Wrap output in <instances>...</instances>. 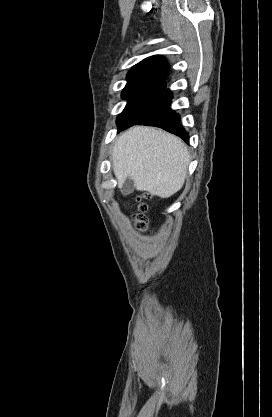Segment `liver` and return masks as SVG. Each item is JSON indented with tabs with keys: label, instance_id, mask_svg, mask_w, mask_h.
<instances>
[{
	"label": "liver",
	"instance_id": "1",
	"mask_svg": "<svg viewBox=\"0 0 272 417\" xmlns=\"http://www.w3.org/2000/svg\"><path fill=\"white\" fill-rule=\"evenodd\" d=\"M111 160L118 187L131 178L138 191L169 198L183 187L190 156L175 135L136 126L116 139Z\"/></svg>",
	"mask_w": 272,
	"mask_h": 417
}]
</instances>
